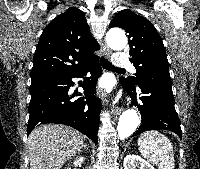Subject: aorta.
<instances>
[{"instance_id":"762f6f07","label":"aorta","mask_w":200,"mask_h":169,"mask_svg":"<svg viewBox=\"0 0 200 169\" xmlns=\"http://www.w3.org/2000/svg\"><path fill=\"white\" fill-rule=\"evenodd\" d=\"M106 41L113 50H122L126 47L127 38L124 32L111 30L106 35ZM140 119L135 109H128L122 113L117 125L118 137L121 140L131 136L138 128Z\"/></svg>"}]
</instances>
